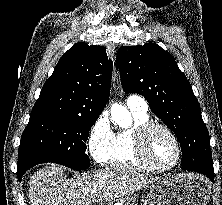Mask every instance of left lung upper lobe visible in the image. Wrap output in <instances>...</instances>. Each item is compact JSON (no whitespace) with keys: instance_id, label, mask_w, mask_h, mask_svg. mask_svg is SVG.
I'll return each mask as SVG.
<instances>
[{"instance_id":"1","label":"left lung upper lobe","mask_w":222,"mask_h":205,"mask_svg":"<svg viewBox=\"0 0 222 205\" xmlns=\"http://www.w3.org/2000/svg\"><path fill=\"white\" fill-rule=\"evenodd\" d=\"M117 67L124 91L144 96L156 116L176 134L182 157L196 153L213 163L199 103L173 56L155 43L122 46L117 51Z\"/></svg>"}]
</instances>
